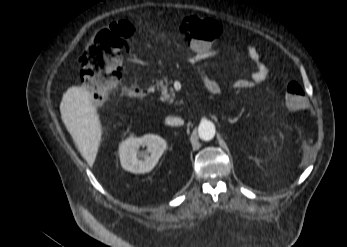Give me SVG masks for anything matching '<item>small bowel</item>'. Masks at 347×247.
I'll use <instances>...</instances> for the list:
<instances>
[{"label": "small bowel", "mask_w": 347, "mask_h": 247, "mask_svg": "<svg viewBox=\"0 0 347 247\" xmlns=\"http://www.w3.org/2000/svg\"><path fill=\"white\" fill-rule=\"evenodd\" d=\"M223 50V43L215 42L207 50L195 51L194 54L188 56L187 60L190 64L197 66L198 72L201 76L204 86L211 93H218L220 91V85L212 77H210L203 67L201 66L209 58L217 57ZM247 58L253 62L256 69L248 77L236 78L231 82V85L235 89H247L254 85L263 82L268 74V67L262 62L258 49L250 45L246 49Z\"/></svg>", "instance_id": "1"}]
</instances>
